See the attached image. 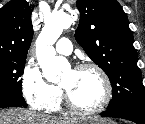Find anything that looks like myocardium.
Instances as JSON below:
<instances>
[{"label": "myocardium", "mask_w": 145, "mask_h": 124, "mask_svg": "<svg viewBox=\"0 0 145 124\" xmlns=\"http://www.w3.org/2000/svg\"><path fill=\"white\" fill-rule=\"evenodd\" d=\"M73 70L74 71H85V70L96 71L100 75L104 84V97L97 106L93 108H82L76 105L75 102L72 100L68 91L62 85H59L61 89L62 97L68 109L78 115H95L102 112L110 104L112 100V96H113L112 83L108 74L99 65L95 63H89V62L81 63L77 65Z\"/></svg>", "instance_id": "1"}]
</instances>
